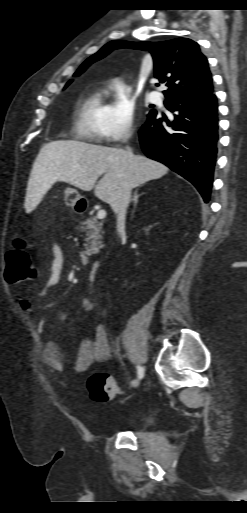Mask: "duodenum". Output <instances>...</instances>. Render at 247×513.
Returning a JSON list of instances; mask_svg holds the SVG:
<instances>
[{
    "instance_id": "1",
    "label": "duodenum",
    "mask_w": 247,
    "mask_h": 513,
    "mask_svg": "<svg viewBox=\"0 0 247 513\" xmlns=\"http://www.w3.org/2000/svg\"><path fill=\"white\" fill-rule=\"evenodd\" d=\"M100 267V263L98 261H95L91 266V272L96 273Z\"/></svg>"
}]
</instances>
